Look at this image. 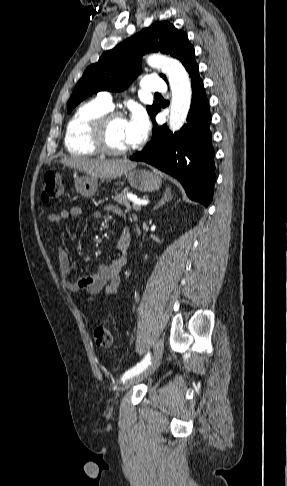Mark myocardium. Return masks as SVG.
<instances>
[{
	"label": "myocardium",
	"mask_w": 287,
	"mask_h": 486,
	"mask_svg": "<svg viewBox=\"0 0 287 486\" xmlns=\"http://www.w3.org/2000/svg\"><path fill=\"white\" fill-rule=\"evenodd\" d=\"M117 119H125L122 112L109 110L95 119L91 124L89 139L94 149L101 154L108 156H123L130 153L133 148L114 149L107 142V132L111 123Z\"/></svg>",
	"instance_id": "myocardium-1"
}]
</instances>
